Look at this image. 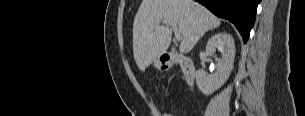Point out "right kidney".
I'll list each match as a JSON object with an SVG mask.
<instances>
[{"label":"right kidney","mask_w":305,"mask_h":116,"mask_svg":"<svg viewBox=\"0 0 305 116\" xmlns=\"http://www.w3.org/2000/svg\"><path fill=\"white\" fill-rule=\"evenodd\" d=\"M216 49L221 52V58H215L217 72L208 75L203 69L196 72V83L204 95H210L219 89L229 78L234 68L235 44L233 37L228 33L213 35L206 45V53L214 55Z\"/></svg>","instance_id":"ca27d5eb"}]
</instances>
